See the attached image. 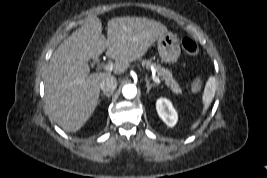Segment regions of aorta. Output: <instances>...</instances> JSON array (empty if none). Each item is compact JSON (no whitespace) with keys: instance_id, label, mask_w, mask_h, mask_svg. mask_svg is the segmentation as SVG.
<instances>
[{"instance_id":"1","label":"aorta","mask_w":267,"mask_h":178,"mask_svg":"<svg viewBox=\"0 0 267 178\" xmlns=\"http://www.w3.org/2000/svg\"><path fill=\"white\" fill-rule=\"evenodd\" d=\"M122 94L127 99H132L137 94V87L133 84H127L122 89Z\"/></svg>"}]
</instances>
